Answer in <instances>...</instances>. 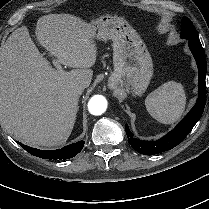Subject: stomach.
Here are the masks:
<instances>
[{"label":"stomach","instance_id":"0dacf381","mask_svg":"<svg viewBox=\"0 0 209 209\" xmlns=\"http://www.w3.org/2000/svg\"><path fill=\"white\" fill-rule=\"evenodd\" d=\"M89 24L93 39L113 42L114 72L109 78V88L142 95L153 76V63L139 34L116 15H102Z\"/></svg>","mask_w":209,"mask_h":209}]
</instances>
